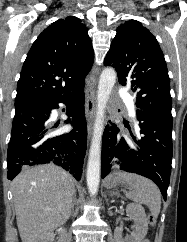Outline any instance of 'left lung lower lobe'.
Listing matches in <instances>:
<instances>
[{
    "label": "left lung lower lobe",
    "mask_w": 187,
    "mask_h": 242,
    "mask_svg": "<svg viewBox=\"0 0 187 242\" xmlns=\"http://www.w3.org/2000/svg\"><path fill=\"white\" fill-rule=\"evenodd\" d=\"M138 130L128 138L118 137L115 124L107 126L102 141L101 177L112 170L145 176L167 197L172 164V118L136 110ZM129 128V127H128ZM130 129V128H129Z\"/></svg>",
    "instance_id": "0a47b994"
}]
</instances>
